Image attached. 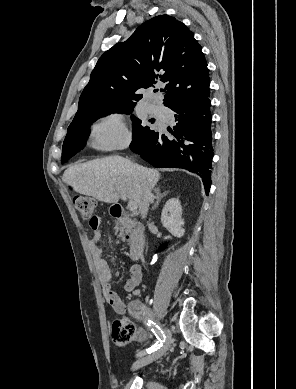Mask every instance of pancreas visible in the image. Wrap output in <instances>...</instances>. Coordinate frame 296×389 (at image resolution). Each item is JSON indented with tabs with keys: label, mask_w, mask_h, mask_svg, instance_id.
<instances>
[{
	"label": "pancreas",
	"mask_w": 296,
	"mask_h": 389,
	"mask_svg": "<svg viewBox=\"0 0 296 389\" xmlns=\"http://www.w3.org/2000/svg\"><path fill=\"white\" fill-rule=\"evenodd\" d=\"M115 230H116V232L119 231V235L118 236L120 238H122V239H124L125 236H127L129 234V232H130V230L127 229L125 226L119 225V222H116Z\"/></svg>",
	"instance_id": "1"
}]
</instances>
